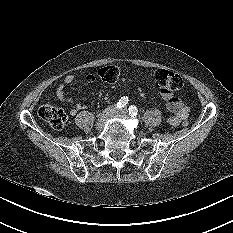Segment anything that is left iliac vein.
<instances>
[{"label":"left iliac vein","instance_id":"4c4485c4","mask_svg":"<svg viewBox=\"0 0 233 233\" xmlns=\"http://www.w3.org/2000/svg\"><path fill=\"white\" fill-rule=\"evenodd\" d=\"M115 114L117 116L126 117L127 116V110L126 109H121V110L116 111Z\"/></svg>","mask_w":233,"mask_h":233}]
</instances>
